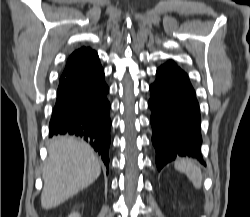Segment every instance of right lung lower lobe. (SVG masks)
<instances>
[{"label": "right lung lower lobe", "mask_w": 250, "mask_h": 217, "mask_svg": "<svg viewBox=\"0 0 250 217\" xmlns=\"http://www.w3.org/2000/svg\"><path fill=\"white\" fill-rule=\"evenodd\" d=\"M109 88L98 55L60 77L49 137L70 134L86 140L109 166Z\"/></svg>", "instance_id": "98d812e1"}]
</instances>
